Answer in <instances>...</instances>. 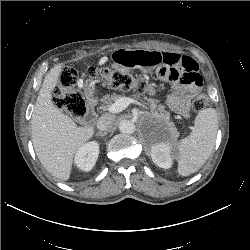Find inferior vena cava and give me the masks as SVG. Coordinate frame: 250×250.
Masks as SVG:
<instances>
[{"mask_svg": "<svg viewBox=\"0 0 250 250\" xmlns=\"http://www.w3.org/2000/svg\"><path fill=\"white\" fill-rule=\"evenodd\" d=\"M114 121V117L111 115H104L97 121V128L100 131H107L110 129Z\"/></svg>", "mask_w": 250, "mask_h": 250, "instance_id": "602c4592", "label": "inferior vena cava"}]
</instances>
